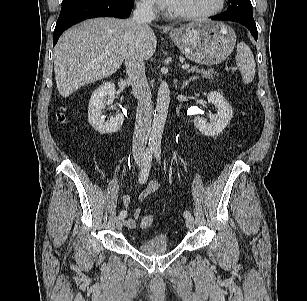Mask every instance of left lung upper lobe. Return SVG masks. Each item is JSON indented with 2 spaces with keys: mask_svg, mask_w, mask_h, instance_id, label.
<instances>
[{
  "mask_svg": "<svg viewBox=\"0 0 307 301\" xmlns=\"http://www.w3.org/2000/svg\"><path fill=\"white\" fill-rule=\"evenodd\" d=\"M228 2L229 6L222 15L253 19L250 0H228Z\"/></svg>",
  "mask_w": 307,
  "mask_h": 301,
  "instance_id": "5c2ea615",
  "label": "left lung upper lobe"
}]
</instances>
